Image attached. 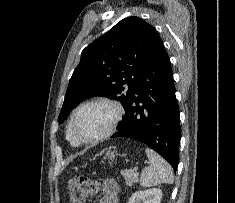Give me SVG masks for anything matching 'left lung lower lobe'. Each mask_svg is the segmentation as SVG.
<instances>
[{
  "instance_id": "0a47b994",
  "label": "left lung lower lobe",
  "mask_w": 235,
  "mask_h": 203,
  "mask_svg": "<svg viewBox=\"0 0 235 203\" xmlns=\"http://www.w3.org/2000/svg\"><path fill=\"white\" fill-rule=\"evenodd\" d=\"M125 112L117 126L118 132L111 137H127L145 143L176 171L181 135L179 108L171 63L162 40L145 66Z\"/></svg>"
}]
</instances>
